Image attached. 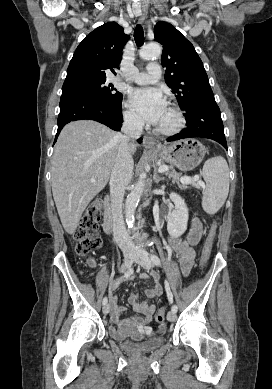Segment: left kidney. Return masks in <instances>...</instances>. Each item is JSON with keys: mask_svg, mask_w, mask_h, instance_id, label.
<instances>
[{"mask_svg": "<svg viewBox=\"0 0 272 389\" xmlns=\"http://www.w3.org/2000/svg\"><path fill=\"white\" fill-rule=\"evenodd\" d=\"M170 199L175 208L168 218L167 230L172 237L177 238L187 230L189 213L186 203L180 195L172 192Z\"/></svg>", "mask_w": 272, "mask_h": 389, "instance_id": "1", "label": "left kidney"}]
</instances>
